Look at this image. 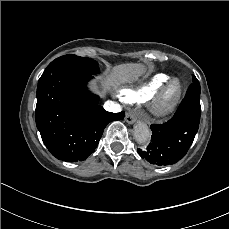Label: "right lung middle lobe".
Instances as JSON below:
<instances>
[{
    "mask_svg": "<svg viewBox=\"0 0 229 229\" xmlns=\"http://www.w3.org/2000/svg\"><path fill=\"white\" fill-rule=\"evenodd\" d=\"M98 71L97 62L90 58L64 55L55 59L47 66L38 84L62 72H81L93 75L98 73Z\"/></svg>",
    "mask_w": 229,
    "mask_h": 229,
    "instance_id": "obj_1",
    "label": "right lung middle lobe"
}]
</instances>
